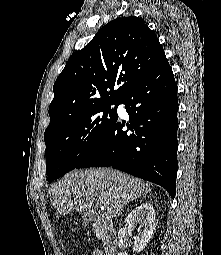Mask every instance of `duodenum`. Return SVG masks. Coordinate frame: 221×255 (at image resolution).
Returning <instances> with one entry per match:
<instances>
[{"mask_svg":"<svg viewBox=\"0 0 221 255\" xmlns=\"http://www.w3.org/2000/svg\"><path fill=\"white\" fill-rule=\"evenodd\" d=\"M85 220L96 225L105 253L107 255H114L117 249L118 236L111 220L108 217L95 212L86 213Z\"/></svg>","mask_w":221,"mask_h":255,"instance_id":"obj_1","label":"duodenum"}]
</instances>
